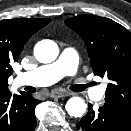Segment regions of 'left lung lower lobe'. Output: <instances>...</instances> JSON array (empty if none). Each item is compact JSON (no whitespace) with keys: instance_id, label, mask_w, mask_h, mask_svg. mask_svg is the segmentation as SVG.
Segmentation results:
<instances>
[{"instance_id":"1","label":"left lung lower lobe","mask_w":131,"mask_h":131,"mask_svg":"<svg viewBox=\"0 0 131 131\" xmlns=\"http://www.w3.org/2000/svg\"><path fill=\"white\" fill-rule=\"evenodd\" d=\"M76 128L79 131H131V115L107 103L95 112L89 104L88 113Z\"/></svg>"}]
</instances>
